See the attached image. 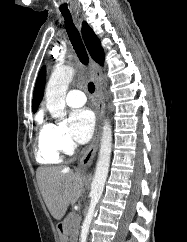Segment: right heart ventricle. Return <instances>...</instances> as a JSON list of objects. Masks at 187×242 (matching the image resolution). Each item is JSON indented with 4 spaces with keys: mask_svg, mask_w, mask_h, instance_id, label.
<instances>
[{
    "mask_svg": "<svg viewBox=\"0 0 187 242\" xmlns=\"http://www.w3.org/2000/svg\"><path fill=\"white\" fill-rule=\"evenodd\" d=\"M38 135L35 147V156L41 164H56L61 160L59 151L52 145L48 135V124L40 116L37 119Z\"/></svg>",
    "mask_w": 187,
    "mask_h": 242,
    "instance_id": "right-heart-ventricle-1",
    "label": "right heart ventricle"
}]
</instances>
